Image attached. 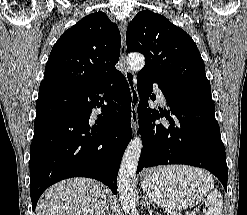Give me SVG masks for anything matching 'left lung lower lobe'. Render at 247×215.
Masks as SVG:
<instances>
[{"label": "left lung lower lobe", "mask_w": 247, "mask_h": 215, "mask_svg": "<svg viewBox=\"0 0 247 215\" xmlns=\"http://www.w3.org/2000/svg\"><path fill=\"white\" fill-rule=\"evenodd\" d=\"M157 83L170 106L166 114L147 108ZM139 129L143 140L137 173L145 167L186 164L212 172L227 191L228 168L211 97L180 90L140 71L137 75ZM152 94L151 97H153ZM172 112L175 116H169ZM166 117L169 124L157 120Z\"/></svg>", "instance_id": "obj_1"}]
</instances>
